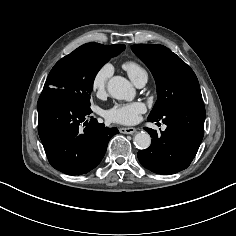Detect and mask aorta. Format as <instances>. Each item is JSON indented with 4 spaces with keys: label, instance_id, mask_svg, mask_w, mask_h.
I'll use <instances>...</instances> for the list:
<instances>
[{
    "label": "aorta",
    "instance_id": "obj_1",
    "mask_svg": "<svg viewBox=\"0 0 236 236\" xmlns=\"http://www.w3.org/2000/svg\"><path fill=\"white\" fill-rule=\"evenodd\" d=\"M107 90L118 100H132L136 94L132 84L122 76L112 77L108 81ZM134 143L138 149H147L151 144V137L147 132H139L134 137Z\"/></svg>",
    "mask_w": 236,
    "mask_h": 236
}]
</instances>
